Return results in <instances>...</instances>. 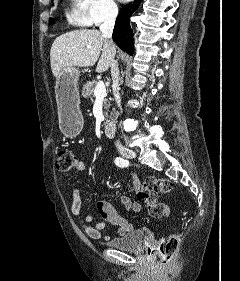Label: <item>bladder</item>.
Returning a JSON list of instances; mask_svg holds the SVG:
<instances>
[{
    "label": "bladder",
    "instance_id": "31cf9c89",
    "mask_svg": "<svg viewBox=\"0 0 240 281\" xmlns=\"http://www.w3.org/2000/svg\"><path fill=\"white\" fill-rule=\"evenodd\" d=\"M146 237L147 233L144 230H134L108 241L107 245L122 251H139L143 247Z\"/></svg>",
    "mask_w": 240,
    "mask_h": 281
}]
</instances>
